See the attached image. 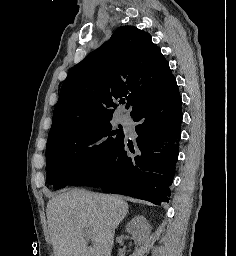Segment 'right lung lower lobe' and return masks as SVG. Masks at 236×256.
I'll return each mask as SVG.
<instances>
[{"mask_svg":"<svg viewBox=\"0 0 236 256\" xmlns=\"http://www.w3.org/2000/svg\"><path fill=\"white\" fill-rule=\"evenodd\" d=\"M131 117L138 125L133 144L122 142L69 185L101 187L161 205L168 202L181 138V97L177 83L147 99ZM133 153V154H131Z\"/></svg>","mask_w":236,"mask_h":256,"instance_id":"1","label":"right lung lower lobe"}]
</instances>
